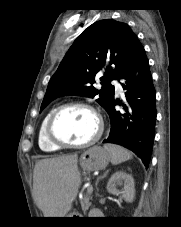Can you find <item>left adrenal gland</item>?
<instances>
[{"label": "left adrenal gland", "mask_w": 181, "mask_h": 227, "mask_svg": "<svg viewBox=\"0 0 181 227\" xmlns=\"http://www.w3.org/2000/svg\"><path fill=\"white\" fill-rule=\"evenodd\" d=\"M108 172H109V170H107V171L104 173L103 176L99 177V178L97 179V181H99L100 179L105 178V177L107 176Z\"/></svg>", "instance_id": "1"}]
</instances>
